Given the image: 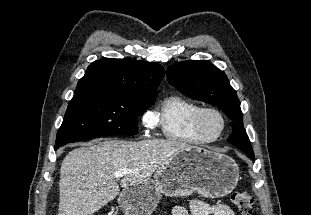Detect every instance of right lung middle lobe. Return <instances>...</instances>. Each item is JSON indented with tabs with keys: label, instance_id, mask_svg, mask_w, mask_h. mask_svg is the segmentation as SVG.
Instances as JSON below:
<instances>
[{
	"label": "right lung middle lobe",
	"instance_id": "obj_1",
	"mask_svg": "<svg viewBox=\"0 0 311 215\" xmlns=\"http://www.w3.org/2000/svg\"><path fill=\"white\" fill-rule=\"evenodd\" d=\"M156 96H136L99 89L76 90L58 130L55 148L104 135L138 133V116Z\"/></svg>",
	"mask_w": 311,
	"mask_h": 215
}]
</instances>
